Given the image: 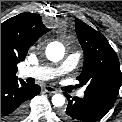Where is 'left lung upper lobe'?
I'll return each mask as SVG.
<instances>
[{"label": "left lung upper lobe", "instance_id": "left-lung-upper-lobe-1", "mask_svg": "<svg viewBox=\"0 0 122 122\" xmlns=\"http://www.w3.org/2000/svg\"><path fill=\"white\" fill-rule=\"evenodd\" d=\"M78 40L84 52V65L77 78L86 85L84 94L114 103L121 85L120 63L117 54L103 34L75 19Z\"/></svg>", "mask_w": 122, "mask_h": 122}]
</instances>
